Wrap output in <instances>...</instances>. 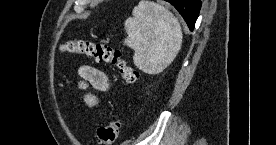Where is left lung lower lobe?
<instances>
[{
    "label": "left lung lower lobe",
    "mask_w": 276,
    "mask_h": 145,
    "mask_svg": "<svg viewBox=\"0 0 276 145\" xmlns=\"http://www.w3.org/2000/svg\"><path fill=\"white\" fill-rule=\"evenodd\" d=\"M171 3L182 15L189 29L193 31L201 8L200 0H165Z\"/></svg>",
    "instance_id": "left-lung-lower-lobe-1"
}]
</instances>
